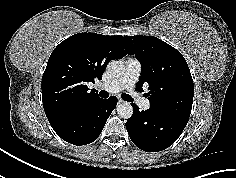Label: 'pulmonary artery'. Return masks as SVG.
Returning a JSON list of instances; mask_svg holds the SVG:
<instances>
[{"label":"pulmonary artery","instance_id":"obj_1","mask_svg":"<svg viewBox=\"0 0 236 178\" xmlns=\"http://www.w3.org/2000/svg\"><path fill=\"white\" fill-rule=\"evenodd\" d=\"M141 74V63L135 58H129L125 61L124 74L111 82L102 85V89L108 93H116L123 89L132 92L136 97V101L143 109L150 107V102L147 98L140 97L137 92H134L135 85Z\"/></svg>","mask_w":236,"mask_h":178}]
</instances>
